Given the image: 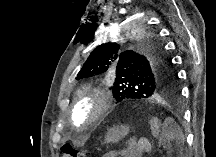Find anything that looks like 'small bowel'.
Wrapping results in <instances>:
<instances>
[{
    "label": "small bowel",
    "mask_w": 216,
    "mask_h": 157,
    "mask_svg": "<svg viewBox=\"0 0 216 157\" xmlns=\"http://www.w3.org/2000/svg\"><path fill=\"white\" fill-rule=\"evenodd\" d=\"M146 149V144L141 141H136L130 143L124 148L111 153V157L121 156V157H139Z\"/></svg>",
    "instance_id": "obj_1"
}]
</instances>
